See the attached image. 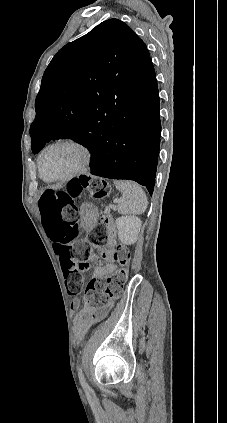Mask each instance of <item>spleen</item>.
I'll return each instance as SVG.
<instances>
[{"mask_svg": "<svg viewBox=\"0 0 227 423\" xmlns=\"http://www.w3.org/2000/svg\"><path fill=\"white\" fill-rule=\"evenodd\" d=\"M117 190L122 192V202L118 204L117 210L118 213H133V215H139L143 213L148 206L147 198L145 192L140 188L139 184L136 182H129V180H124V182H114Z\"/></svg>", "mask_w": 227, "mask_h": 423, "instance_id": "3e777b00", "label": "spleen"}]
</instances>
